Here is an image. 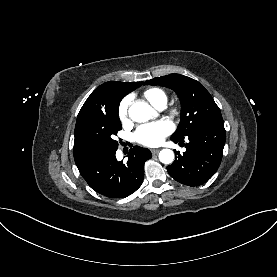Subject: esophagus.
Here are the masks:
<instances>
[{"mask_svg":"<svg viewBox=\"0 0 277 277\" xmlns=\"http://www.w3.org/2000/svg\"><path fill=\"white\" fill-rule=\"evenodd\" d=\"M160 151V149H151L152 154H157Z\"/></svg>","mask_w":277,"mask_h":277,"instance_id":"obj_1","label":"esophagus"}]
</instances>
